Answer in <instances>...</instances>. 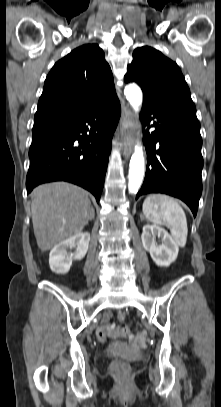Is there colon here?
Segmentation results:
<instances>
[{
    "instance_id": "obj_1",
    "label": "colon",
    "mask_w": 221,
    "mask_h": 407,
    "mask_svg": "<svg viewBox=\"0 0 221 407\" xmlns=\"http://www.w3.org/2000/svg\"><path fill=\"white\" fill-rule=\"evenodd\" d=\"M116 320L119 321L121 324L103 326L98 330L97 336L101 342H105L108 338L125 336L136 348L144 349L146 347L147 345L146 334L130 332L129 328L125 324H122L124 322L123 314H117ZM111 368L118 376L121 377L127 375L129 372L128 364L119 359L112 361Z\"/></svg>"
}]
</instances>
